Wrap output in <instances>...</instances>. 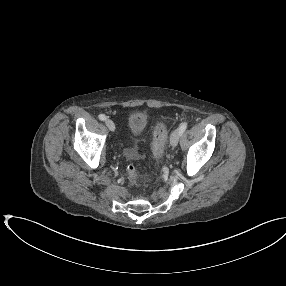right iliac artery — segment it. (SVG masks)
<instances>
[{
    "instance_id": "obj_1",
    "label": "right iliac artery",
    "mask_w": 286,
    "mask_h": 286,
    "mask_svg": "<svg viewBox=\"0 0 286 286\" xmlns=\"http://www.w3.org/2000/svg\"><path fill=\"white\" fill-rule=\"evenodd\" d=\"M99 119L104 121V120H106V116L104 114H100L99 115Z\"/></svg>"
}]
</instances>
